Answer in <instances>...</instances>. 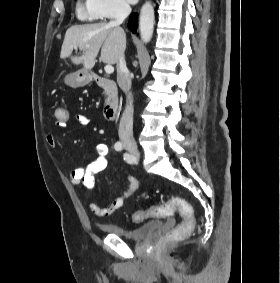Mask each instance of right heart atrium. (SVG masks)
Listing matches in <instances>:
<instances>
[{
    "instance_id": "1",
    "label": "right heart atrium",
    "mask_w": 280,
    "mask_h": 283,
    "mask_svg": "<svg viewBox=\"0 0 280 283\" xmlns=\"http://www.w3.org/2000/svg\"><path fill=\"white\" fill-rule=\"evenodd\" d=\"M87 9L95 19L110 20L127 15L130 6L127 0H86Z\"/></svg>"
}]
</instances>
